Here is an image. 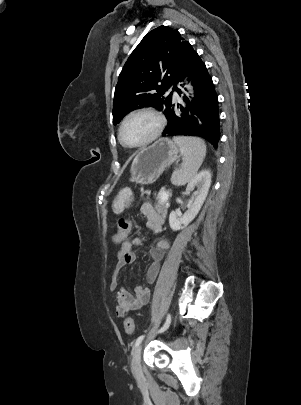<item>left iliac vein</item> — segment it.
<instances>
[{
  "mask_svg": "<svg viewBox=\"0 0 301 405\" xmlns=\"http://www.w3.org/2000/svg\"><path fill=\"white\" fill-rule=\"evenodd\" d=\"M141 349L142 346L138 345L133 353V360H132V364H133V368H134V372L137 376H140L142 374V369H141Z\"/></svg>",
  "mask_w": 301,
  "mask_h": 405,
  "instance_id": "left-iliac-vein-1",
  "label": "left iliac vein"
}]
</instances>
